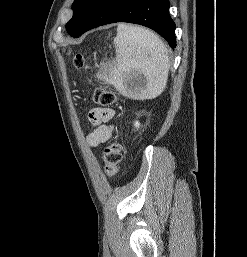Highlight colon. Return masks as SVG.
<instances>
[{
    "label": "colon",
    "instance_id": "1",
    "mask_svg": "<svg viewBox=\"0 0 247 257\" xmlns=\"http://www.w3.org/2000/svg\"><path fill=\"white\" fill-rule=\"evenodd\" d=\"M74 65L78 69H81L84 66V58L81 54L75 55ZM93 100L98 105L107 107L115 103L116 95L109 89L97 88L94 91ZM103 158L106 174L110 177L116 175L122 161V150L120 144L116 141L109 142L104 149Z\"/></svg>",
    "mask_w": 247,
    "mask_h": 257
}]
</instances>
